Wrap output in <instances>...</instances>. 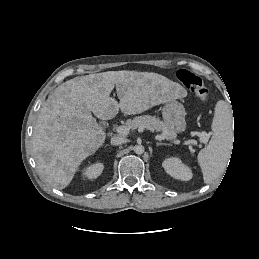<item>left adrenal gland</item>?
Returning <instances> with one entry per match:
<instances>
[{
	"label": "left adrenal gland",
	"mask_w": 259,
	"mask_h": 259,
	"mask_svg": "<svg viewBox=\"0 0 259 259\" xmlns=\"http://www.w3.org/2000/svg\"><path fill=\"white\" fill-rule=\"evenodd\" d=\"M160 145H169V144H167V143H161V142H157V143H156V146H160Z\"/></svg>",
	"instance_id": "obj_1"
}]
</instances>
